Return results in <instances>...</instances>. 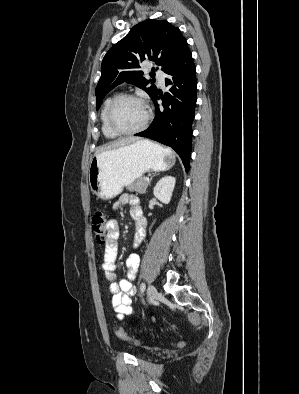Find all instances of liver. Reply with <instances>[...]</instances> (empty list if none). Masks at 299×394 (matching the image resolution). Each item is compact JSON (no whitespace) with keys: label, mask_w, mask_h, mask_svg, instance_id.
<instances>
[{"label":"liver","mask_w":299,"mask_h":394,"mask_svg":"<svg viewBox=\"0 0 299 394\" xmlns=\"http://www.w3.org/2000/svg\"><path fill=\"white\" fill-rule=\"evenodd\" d=\"M135 141H138V138L130 137V138H126V139H123V140H120V141H116V142H114V143H112V144H110V145H108L106 147L99 148L96 153H99V152H102V151H105V150L118 148V147H121V146H125V145L131 144V143H133Z\"/></svg>","instance_id":"obj_1"}]
</instances>
